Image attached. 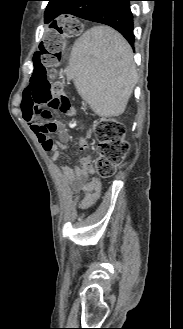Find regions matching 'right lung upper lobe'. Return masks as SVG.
Wrapping results in <instances>:
<instances>
[{"instance_id": "right-lung-upper-lobe-1", "label": "right lung upper lobe", "mask_w": 183, "mask_h": 329, "mask_svg": "<svg viewBox=\"0 0 183 329\" xmlns=\"http://www.w3.org/2000/svg\"><path fill=\"white\" fill-rule=\"evenodd\" d=\"M48 1H49V4H48L47 9L45 11V19H46L47 22H50L51 20H53L55 18L54 17L55 11H53L49 7L52 6L56 1H59V0H48Z\"/></svg>"}]
</instances>
